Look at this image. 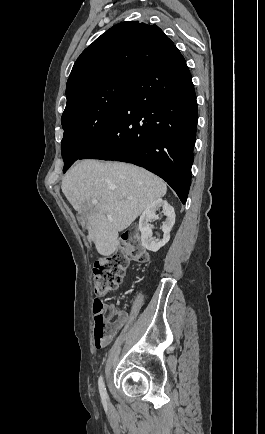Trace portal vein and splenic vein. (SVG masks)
I'll return each instance as SVG.
<instances>
[{
    "instance_id": "obj_1",
    "label": "portal vein and splenic vein",
    "mask_w": 265,
    "mask_h": 434,
    "mask_svg": "<svg viewBox=\"0 0 265 434\" xmlns=\"http://www.w3.org/2000/svg\"><path fill=\"white\" fill-rule=\"evenodd\" d=\"M127 200H133V198H127ZM91 204H98V200H91Z\"/></svg>"
}]
</instances>
